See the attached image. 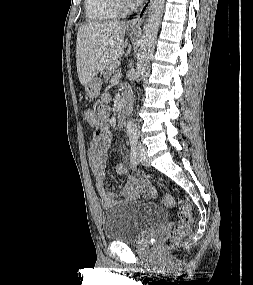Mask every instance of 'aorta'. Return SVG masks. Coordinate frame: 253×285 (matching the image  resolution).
Here are the masks:
<instances>
[{"instance_id":"obj_1","label":"aorta","mask_w":253,"mask_h":285,"mask_svg":"<svg viewBox=\"0 0 253 285\" xmlns=\"http://www.w3.org/2000/svg\"><path fill=\"white\" fill-rule=\"evenodd\" d=\"M165 9V0H153L143 27L138 62L136 67L135 79L140 81L144 76L147 65L153 55L156 37L161 24L162 16ZM129 135L137 133V127L134 120H129L126 125Z\"/></svg>"}]
</instances>
